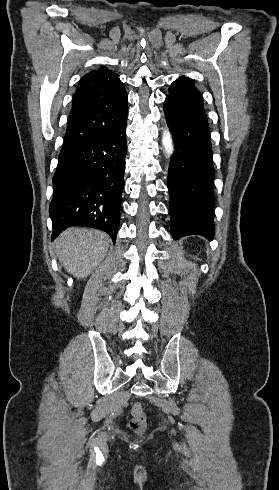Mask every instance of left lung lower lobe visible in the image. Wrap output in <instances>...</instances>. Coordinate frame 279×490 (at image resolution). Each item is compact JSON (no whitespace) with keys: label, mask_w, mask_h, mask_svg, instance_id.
<instances>
[{"label":"left lung lower lobe","mask_w":279,"mask_h":490,"mask_svg":"<svg viewBox=\"0 0 279 490\" xmlns=\"http://www.w3.org/2000/svg\"><path fill=\"white\" fill-rule=\"evenodd\" d=\"M164 112L175 142L168 171L171 234L214 237V168L208 121L203 108L171 96Z\"/></svg>","instance_id":"0a47b994"}]
</instances>
